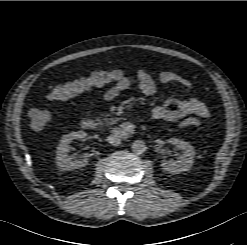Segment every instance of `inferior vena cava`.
<instances>
[{
	"label": "inferior vena cava",
	"mask_w": 247,
	"mask_h": 245,
	"mask_svg": "<svg viewBox=\"0 0 247 245\" xmlns=\"http://www.w3.org/2000/svg\"><path fill=\"white\" fill-rule=\"evenodd\" d=\"M108 142L112 145V146H118L121 143V140L119 137L115 136V135H109L108 137Z\"/></svg>",
	"instance_id": "inferior-vena-cava-1"
}]
</instances>
